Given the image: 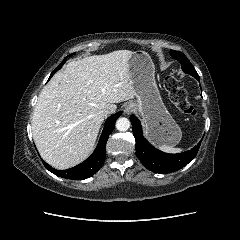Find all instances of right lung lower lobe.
Listing matches in <instances>:
<instances>
[{
    "mask_svg": "<svg viewBox=\"0 0 240 240\" xmlns=\"http://www.w3.org/2000/svg\"><path fill=\"white\" fill-rule=\"evenodd\" d=\"M52 77V76H51ZM122 112H117L116 114L110 116L105 123L103 132L101 134L99 143L93 152V154L86 159L81 164L67 169V170H56L49 166L46 162L42 161L44 166L54 173L55 175L63 178L74 179V180H83L89 177H92L98 170L102 167L105 156H106V142L109 138L110 133L114 129V125L118 117Z\"/></svg>",
    "mask_w": 240,
    "mask_h": 240,
    "instance_id": "1",
    "label": "right lung lower lobe"
}]
</instances>
